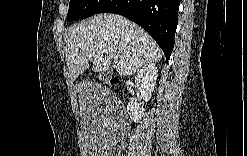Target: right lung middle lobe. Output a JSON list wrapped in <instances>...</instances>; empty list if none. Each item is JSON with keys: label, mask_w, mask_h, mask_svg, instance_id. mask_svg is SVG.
<instances>
[{"label": "right lung middle lobe", "mask_w": 247, "mask_h": 156, "mask_svg": "<svg viewBox=\"0 0 247 156\" xmlns=\"http://www.w3.org/2000/svg\"><path fill=\"white\" fill-rule=\"evenodd\" d=\"M107 0H70L67 20L84 19L98 12Z\"/></svg>", "instance_id": "obj_1"}]
</instances>
